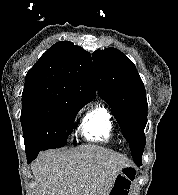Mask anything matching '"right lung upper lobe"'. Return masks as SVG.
I'll return each instance as SVG.
<instances>
[{"label": "right lung upper lobe", "instance_id": "1", "mask_svg": "<svg viewBox=\"0 0 178 195\" xmlns=\"http://www.w3.org/2000/svg\"><path fill=\"white\" fill-rule=\"evenodd\" d=\"M96 86L90 53L69 41L51 46L28 71L22 99L50 98L90 102Z\"/></svg>", "mask_w": 178, "mask_h": 195}]
</instances>
